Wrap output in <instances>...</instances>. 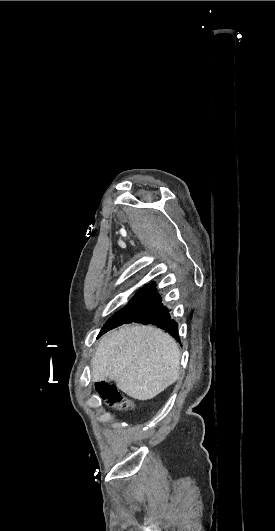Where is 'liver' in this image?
<instances>
[{
    "instance_id": "liver-1",
    "label": "liver",
    "mask_w": 275,
    "mask_h": 531,
    "mask_svg": "<svg viewBox=\"0 0 275 531\" xmlns=\"http://www.w3.org/2000/svg\"><path fill=\"white\" fill-rule=\"evenodd\" d=\"M174 339L150 325H125L102 337L92 359V381L112 379L137 401H149L179 379Z\"/></svg>"
}]
</instances>
